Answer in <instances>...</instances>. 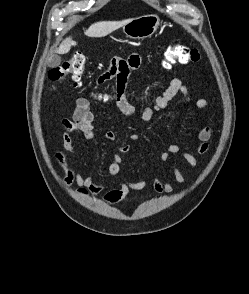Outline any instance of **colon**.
Instances as JSON below:
<instances>
[{
	"mask_svg": "<svg viewBox=\"0 0 249 294\" xmlns=\"http://www.w3.org/2000/svg\"><path fill=\"white\" fill-rule=\"evenodd\" d=\"M198 49L185 45H168L163 54L162 65L170 69L175 65H188L199 60ZM86 57L82 52H76L62 66L52 69L48 73V79L53 82L62 81L70 78L75 86H81L85 73ZM128 65L124 58L117 57L112 59L109 68L106 70L108 75H119L127 71ZM131 135V134H130ZM129 135V136H130Z\"/></svg>",
	"mask_w": 249,
	"mask_h": 294,
	"instance_id": "5ec220e1",
	"label": "colon"
}]
</instances>
